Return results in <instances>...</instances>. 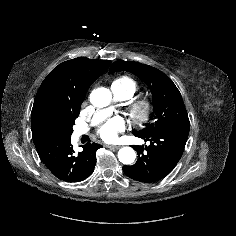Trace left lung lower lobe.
Listing matches in <instances>:
<instances>
[{
  "label": "left lung lower lobe",
  "instance_id": "1",
  "mask_svg": "<svg viewBox=\"0 0 236 236\" xmlns=\"http://www.w3.org/2000/svg\"><path fill=\"white\" fill-rule=\"evenodd\" d=\"M190 130V122L173 124L149 136H137L150 145L133 148L139 156L132 166H123L124 173L139 182L154 183L165 178L180 160Z\"/></svg>",
  "mask_w": 236,
  "mask_h": 236
}]
</instances>
